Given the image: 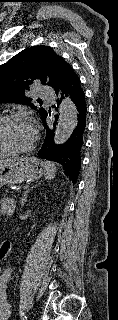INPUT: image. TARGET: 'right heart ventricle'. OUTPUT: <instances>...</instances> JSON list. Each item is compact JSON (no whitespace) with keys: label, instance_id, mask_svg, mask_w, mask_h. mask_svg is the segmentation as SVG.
Instances as JSON below:
<instances>
[{"label":"right heart ventricle","instance_id":"e07e8e85","mask_svg":"<svg viewBox=\"0 0 118 320\" xmlns=\"http://www.w3.org/2000/svg\"><path fill=\"white\" fill-rule=\"evenodd\" d=\"M4 155L5 153L2 150H0V158L3 157Z\"/></svg>","mask_w":118,"mask_h":320}]
</instances>
